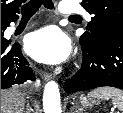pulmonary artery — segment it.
Returning a JSON list of instances; mask_svg holds the SVG:
<instances>
[{
	"label": "pulmonary artery",
	"mask_w": 123,
	"mask_h": 113,
	"mask_svg": "<svg viewBox=\"0 0 123 113\" xmlns=\"http://www.w3.org/2000/svg\"><path fill=\"white\" fill-rule=\"evenodd\" d=\"M60 11L64 14H72L82 12L80 5L74 1H61L60 2ZM87 18H90V15L85 13Z\"/></svg>",
	"instance_id": "obj_1"
}]
</instances>
